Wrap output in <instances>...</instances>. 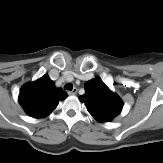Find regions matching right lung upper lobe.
<instances>
[{
    "label": "right lung upper lobe",
    "instance_id": "obj_1",
    "mask_svg": "<svg viewBox=\"0 0 163 163\" xmlns=\"http://www.w3.org/2000/svg\"><path fill=\"white\" fill-rule=\"evenodd\" d=\"M67 96L63 89L55 87L48 75H44L22 86L19 103L31 117L42 118L49 115L57 107L59 101Z\"/></svg>",
    "mask_w": 163,
    "mask_h": 163
}]
</instances>
